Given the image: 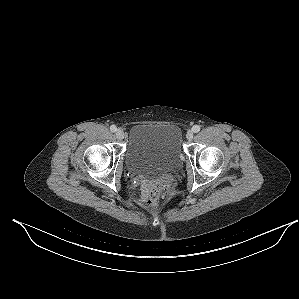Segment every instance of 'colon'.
I'll use <instances>...</instances> for the list:
<instances>
[{
    "label": "colon",
    "instance_id": "5ec220e1",
    "mask_svg": "<svg viewBox=\"0 0 299 299\" xmlns=\"http://www.w3.org/2000/svg\"><path fill=\"white\" fill-rule=\"evenodd\" d=\"M169 188L170 186L167 182L150 184L146 191L149 206L155 207L166 196Z\"/></svg>",
    "mask_w": 299,
    "mask_h": 299
}]
</instances>
